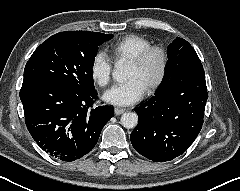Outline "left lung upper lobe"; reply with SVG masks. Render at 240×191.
I'll list each match as a JSON object with an SVG mask.
<instances>
[{
    "label": "left lung upper lobe",
    "mask_w": 240,
    "mask_h": 191,
    "mask_svg": "<svg viewBox=\"0 0 240 191\" xmlns=\"http://www.w3.org/2000/svg\"><path fill=\"white\" fill-rule=\"evenodd\" d=\"M168 62L165 67V74L162 83L158 88L163 87L170 79L192 67L203 69L201 61L193 47L182 38H176L167 49Z\"/></svg>",
    "instance_id": "obj_1"
}]
</instances>
